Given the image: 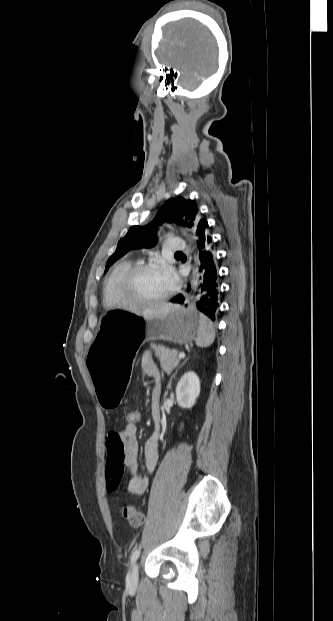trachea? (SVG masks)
Wrapping results in <instances>:
<instances>
[{
  "mask_svg": "<svg viewBox=\"0 0 333 621\" xmlns=\"http://www.w3.org/2000/svg\"><path fill=\"white\" fill-rule=\"evenodd\" d=\"M176 254H182V252H176Z\"/></svg>",
  "mask_w": 333,
  "mask_h": 621,
  "instance_id": "trachea-1",
  "label": "trachea"
}]
</instances>
